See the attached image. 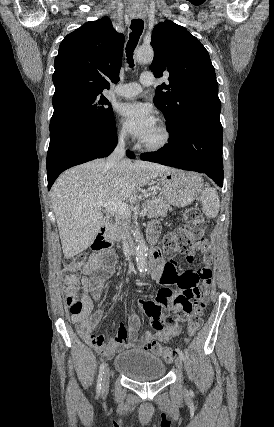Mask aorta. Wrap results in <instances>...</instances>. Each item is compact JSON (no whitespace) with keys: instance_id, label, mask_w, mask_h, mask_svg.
I'll return each instance as SVG.
<instances>
[{"instance_id":"1","label":"aorta","mask_w":274,"mask_h":427,"mask_svg":"<svg viewBox=\"0 0 274 427\" xmlns=\"http://www.w3.org/2000/svg\"><path fill=\"white\" fill-rule=\"evenodd\" d=\"M154 57V51L151 47H140L136 52V61L138 63H150L152 62ZM133 237L138 242L136 248V262L137 267L141 274L146 272L147 265V255H148V247L145 243V240L139 231V229H135L132 231Z\"/></svg>"}]
</instances>
